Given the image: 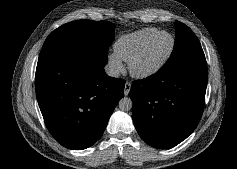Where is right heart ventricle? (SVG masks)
Masks as SVG:
<instances>
[{
    "mask_svg": "<svg viewBox=\"0 0 237 169\" xmlns=\"http://www.w3.org/2000/svg\"><path fill=\"white\" fill-rule=\"evenodd\" d=\"M159 31L157 28L150 27L124 34L115 42L114 51L123 61L129 62L142 46Z\"/></svg>",
    "mask_w": 237,
    "mask_h": 169,
    "instance_id": "obj_1",
    "label": "right heart ventricle"
}]
</instances>
